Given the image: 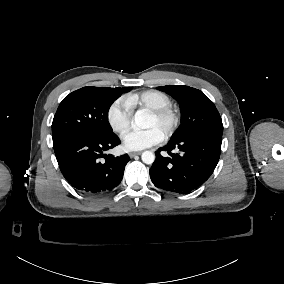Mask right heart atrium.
Returning <instances> with one entry per match:
<instances>
[{"label":"right heart atrium","mask_w":284,"mask_h":284,"mask_svg":"<svg viewBox=\"0 0 284 284\" xmlns=\"http://www.w3.org/2000/svg\"><path fill=\"white\" fill-rule=\"evenodd\" d=\"M133 105L131 98L119 97L112 101L106 113L108 126L115 133L124 132L131 123Z\"/></svg>","instance_id":"obj_1"}]
</instances>
